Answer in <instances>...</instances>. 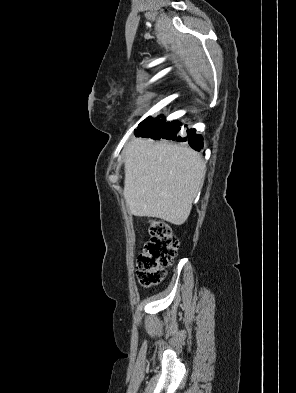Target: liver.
Returning a JSON list of instances; mask_svg holds the SVG:
<instances>
[{
	"mask_svg": "<svg viewBox=\"0 0 296 393\" xmlns=\"http://www.w3.org/2000/svg\"><path fill=\"white\" fill-rule=\"evenodd\" d=\"M124 155V198L130 212L182 225L204 182L202 157L182 145L144 138L132 139Z\"/></svg>",
	"mask_w": 296,
	"mask_h": 393,
	"instance_id": "1",
	"label": "liver"
}]
</instances>
